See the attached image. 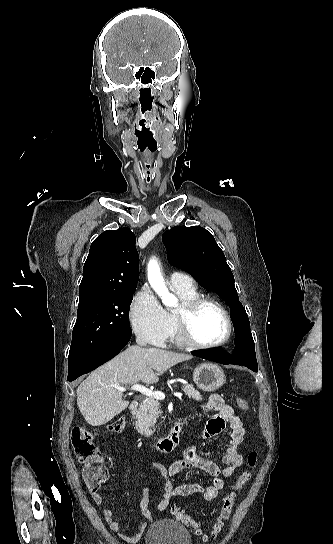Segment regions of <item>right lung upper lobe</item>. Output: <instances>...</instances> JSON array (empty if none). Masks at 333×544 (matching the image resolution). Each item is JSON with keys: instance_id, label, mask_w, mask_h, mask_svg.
Instances as JSON below:
<instances>
[{"instance_id": "1", "label": "right lung upper lobe", "mask_w": 333, "mask_h": 544, "mask_svg": "<svg viewBox=\"0 0 333 544\" xmlns=\"http://www.w3.org/2000/svg\"><path fill=\"white\" fill-rule=\"evenodd\" d=\"M136 238L127 227L108 230L91 244L79 286V303L107 292L133 291L139 279Z\"/></svg>"}]
</instances>
